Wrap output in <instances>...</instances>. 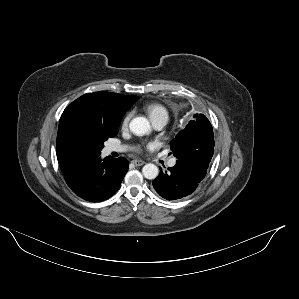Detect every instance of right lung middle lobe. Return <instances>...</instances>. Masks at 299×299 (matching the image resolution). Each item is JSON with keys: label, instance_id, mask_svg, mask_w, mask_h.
<instances>
[{"label": "right lung middle lobe", "instance_id": "right-lung-middle-lobe-1", "mask_svg": "<svg viewBox=\"0 0 299 299\" xmlns=\"http://www.w3.org/2000/svg\"><path fill=\"white\" fill-rule=\"evenodd\" d=\"M84 129L86 133L95 141L99 150L104 147V141H106L109 137H114L118 132V127L105 128L101 124L95 122H89L85 124Z\"/></svg>", "mask_w": 299, "mask_h": 299}]
</instances>
